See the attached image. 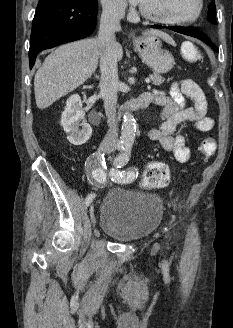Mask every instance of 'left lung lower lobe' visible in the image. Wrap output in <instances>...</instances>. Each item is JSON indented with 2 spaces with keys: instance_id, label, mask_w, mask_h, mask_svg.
<instances>
[{
  "instance_id": "1",
  "label": "left lung lower lobe",
  "mask_w": 233,
  "mask_h": 328,
  "mask_svg": "<svg viewBox=\"0 0 233 328\" xmlns=\"http://www.w3.org/2000/svg\"><path fill=\"white\" fill-rule=\"evenodd\" d=\"M152 27L153 28H162L163 26L153 25ZM167 28H169V29H171L175 32L184 34V35H188V36L198 38L200 40L205 41L209 45H211V47H215V45L212 44L211 40L204 33L200 32L196 28H185V27H175V26H168ZM214 50L218 51L217 49H214Z\"/></svg>"
}]
</instances>
